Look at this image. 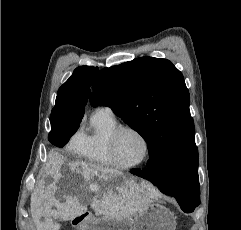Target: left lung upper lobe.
<instances>
[{
    "label": "left lung upper lobe",
    "mask_w": 241,
    "mask_h": 230,
    "mask_svg": "<svg viewBox=\"0 0 241 230\" xmlns=\"http://www.w3.org/2000/svg\"><path fill=\"white\" fill-rule=\"evenodd\" d=\"M93 106L110 107L147 142L149 157L169 163L167 188L185 189L198 176L195 128L182 73L167 59L141 57L99 71Z\"/></svg>",
    "instance_id": "obj_1"
}]
</instances>
